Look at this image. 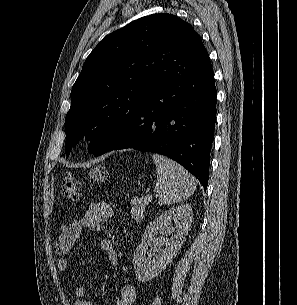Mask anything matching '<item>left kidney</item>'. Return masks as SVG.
Segmentation results:
<instances>
[{"label": "left kidney", "instance_id": "left-kidney-1", "mask_svg": "<svg viewBox=\"0 0 297 305\" xmlns=\"http://www.w3.org/2000/svg\"><path fill=\"white\" fill-rule=\"evenodd\" d=\"M192 217L191 205L183 204L163 212L146 228L142 242L137 246L133 257V265L139 281L152 280L173 260L188 234ZM172 222L175 223V227H171ZM160 230L174 234L170 239L158 238L156 235ZM150 246L153 253H158L162 246L164 249L152 259L146 256Z\"/></svg>", "mask_w": 297, "mask_h": 305}]
</instances>
